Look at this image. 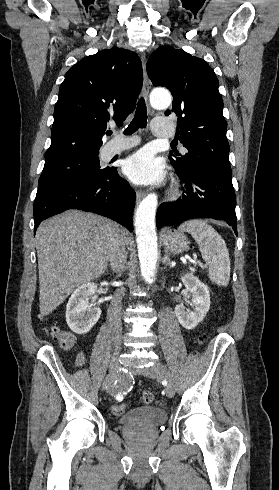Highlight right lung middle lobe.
Segmentation results:
<instances>
[{
  "label": "right lung middle lobe",
  "instance_id": "dd1d6c3e",
  "mask_svg": "<svg viewBox=\"0 0 279 490\" xmlns=\"http://www.w3.org/2000/svg\"><path fill=\"white\" fill-rule=\"evenodd\" d=\"M111 168H101L98 155L45 163L38 187L103 177Z\"/></svg>",
  "mask_w": 279,
  "mask_h": 490
}]
</instances>
